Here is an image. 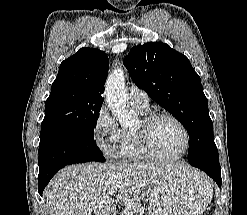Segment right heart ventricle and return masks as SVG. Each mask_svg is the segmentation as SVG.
Returning a JSON list of instances; mask_svg holds the SVG:
<instances>
[{"mask_svg":"<svg viewBox=\"0 0 247 215\" xmlns=\"http://www.w3.org/2000/svg\"><path fill=\"white\" fill-rule=\"evenodd\" d=\"M133 108L141 115L147 113V109L143 110L134 106ZM117 157L127 162H141L150 159L142 149L136 131L128 129H122L120 146L117 149Z\"/></svg>","mask_w":247,"mask_h":215,"instance_id":"right-heart-ventricle-1","label":"right heart ventricle"}]
</instances>
